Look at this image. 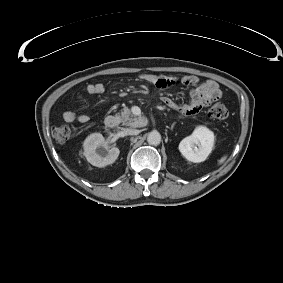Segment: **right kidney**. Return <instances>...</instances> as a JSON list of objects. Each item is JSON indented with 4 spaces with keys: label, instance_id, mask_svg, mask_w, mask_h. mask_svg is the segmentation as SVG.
I'll return each mask as SVG.
<instances>
[{
    "label": "right kidney",
    "instance_id": "obj_1",
    "mask_svg": "<svg viewBox=\"0 0 283 283\" xmlns=\"http://www.w3.org/2000/svg\"><path fill=\"white\" fill-rule=\"evenodd\" d=\"M84 155L89 163L96 167H105L115 162L119 156V149L109 146L102 134L89 135L84 143Z\"/></svg>",
    "mask_w": 283,
    "mask_h": 283
}]
</instances>
